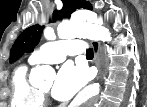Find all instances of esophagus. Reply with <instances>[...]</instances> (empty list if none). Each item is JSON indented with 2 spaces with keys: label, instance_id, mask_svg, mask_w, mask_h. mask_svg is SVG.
<instances>
[{
  "label": "esophagus",
  "instance_id": "1",
  "mask_svg": "<svg viewBox=\"0 0 147 107\" xmlns=\"http://www.w3.org/2000/svg\"><path fill=\"white\" fill-rule=\"evenodd\" d=\"M90 45L94 51V60L95 64L98 68V74H97V79L100 78L103 72V58H102V49H101V44L98 41H90Z\"/></svg>",
  "mask_w": 147,
  "mask_h": 107
}]
</instances>
